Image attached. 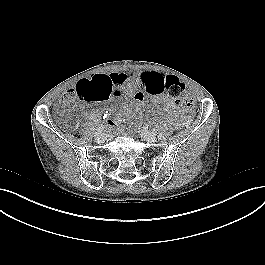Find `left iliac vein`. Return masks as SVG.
<instances>
[{
  "mask_svg": "<svg viewBox=\"0 0 265 265\" xmlns=\"http://www.w3.org/2000/svg\"><path fill=\"white\" fill-rule=\"evenodd\" d=\"M141 136L144 140L148 141V142H155L156 141V136L153 135L150 131L148 130H143L141 132Z\"/></svg>",
  "mask_w": 265,
  "mask_h": 265,
  "instance_id": "4c4485c4",
  "label": "left iliac vein"
}]
</instances>
